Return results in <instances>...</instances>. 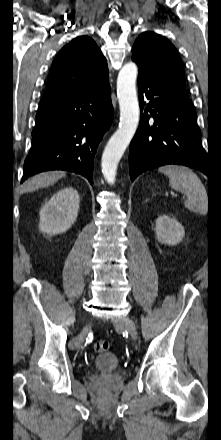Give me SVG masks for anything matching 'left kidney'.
I'll use <instances>...</instances> for the list:
<instances>
[{"instance_id":"left-kidney-1","label":"left kidney","mask_w":221,"mask_h":440,"mask_svg":"<svg viewBox=\"0 0 221 440\" xmlns=\"http://www.w3.org/2000/svg\"><path fill=\"white\" fill-rule=\"evenodd\" d=\"M155 231L158 241L167 245L178 244L185 235L184 227L175 218L166 214L156 219Z\"/></svg>"}]
</instances>
